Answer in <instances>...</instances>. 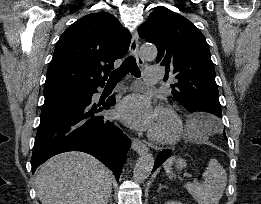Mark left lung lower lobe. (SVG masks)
Instances as JSON below:
<instances>
[{
	"mask_svg": "<svg viewBox=\"0 0 261 204\" xmlns=\"http://www.w3.org/2000/svg\"><path fill=\"white\" fill-rule=\"evenodd\" d=\"M202 121L208 128H211L212 130H215L217 132H222V127L220 125H218L215 121H212L205 117L202 119ZM224 137H225V139H227L225 132H224ZM171 153H172V150H170V149H165L162 152H160V154L156 158V161H155V164L153 167V171L156 170L171 155Z\"/></svg>",
	"mask_w": 261,
	"mask_h": 204,
	"instance_id": "obj_1",
	"label": "left lung lower lobe"
}]
</instances>
